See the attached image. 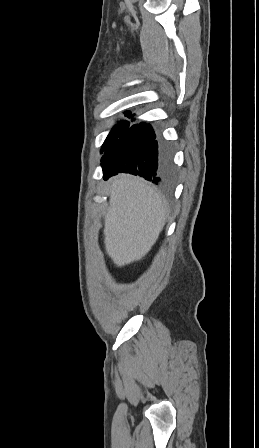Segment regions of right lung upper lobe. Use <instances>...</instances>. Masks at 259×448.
<instances>
[{"mask_svg": "<svg viewBox=\"0 0 259 448\" xmlns=\"http://www.w3.org/2000/svg\"><path fill=\"white\" fill-rule=\"evenodd\" d=\"M125 114H131V112H130V111H127Z\"/></svg>", "mask_w": 259, "mask_h": 448, "instance_id": "1", "label": "right lung upper lobe"}]
</instances>
